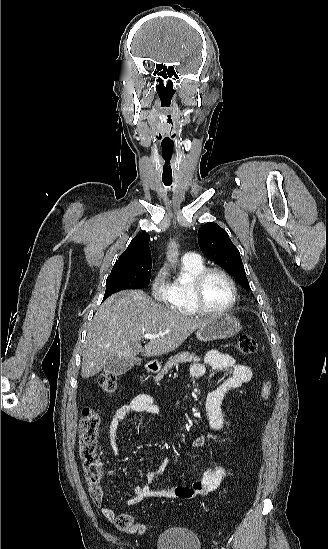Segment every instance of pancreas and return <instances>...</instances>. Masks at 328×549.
I'll return each instance as SVG.
<instances>
[{"mask_svg":"<svg viewBox=\"0 0 328 549\" xmlns=\"http://www.w3.org/2000/svg\"><path fill=\"white\" fill-rule=\"evenodd\" d=\"M198 361H200V359L199 357H196L195 353H192V355H190V353H178L175 357H170V359H168L162 371L156 375L155 381H161L164 375H167L168 371H170L172 367L179 365V363H198Z\"/></svg>","mask_w":328,"mask_h":549,"instance_id":"cf45deb5","label":"pancreas"}]
</instances>
